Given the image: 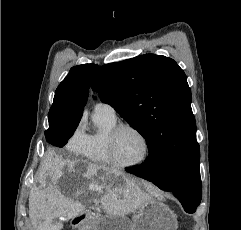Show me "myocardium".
I'll list each match as a JSON object with an SVG mask.
<instances>
[{
  "mask_svg": "<svg viewBox=\"0 0 241 230\" xmlns=\"http://www.w3.org/2000/svg\"><path fill=\"white\" fill-rule=\"evenodd\" d=\"M125 129L132 130L133 132H135L142 139L144 143V153L142 157L139 160L134 162H122L116 156V141H117L118 135L121 133V131ZM106 148L112 164L122 168H131L142 164L148 158L150 153V143L148 138L138 127L130 123H117L109 131L106 139Z\"/></svg>",
  "mask_w": 241,
  "mask_h": 230,
  "instance_id": "1",
  "label": "myocardium"
}]
</instances>
